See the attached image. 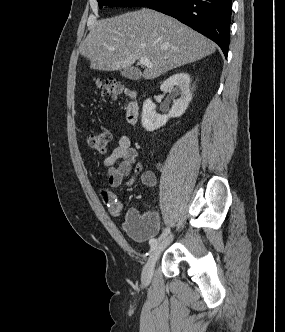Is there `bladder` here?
I'll use <instances>...</instances> for the list:
<instances>
[{"label": "bladder", "instance_id": "bladder-1", "mask_svg": "<svg viewBox=\"0 0 285 332\" xmlns=\"http://www.w3.org/2000/svg\"><path fill=\"white\" fill-rule=\"evenodd\" d=\"M124 225L129 236L137 242L151 240L159 230L158 216L153 211L129 215Z\"/></svg>", "mask_w": 285, "mask_h": 332}]
</instances>
